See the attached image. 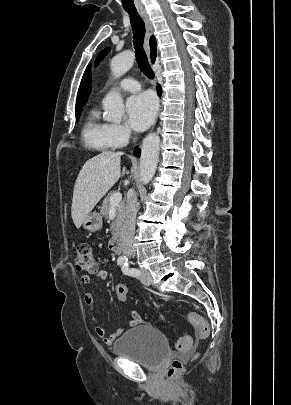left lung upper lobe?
<instances>
[{"mask_svg":"<svg viewBox=\"0 0 291 405\" xmlns=\"http://www.w3.org/2000/svg\"><path fill=\"white\" fill-rule=\"evenodd\" d=\"M109 52V48H105L103 51H101V53L98 55L97 59H96V64H98L101 59Z\"/></svg>","mask_w":291,"mask_h":405,"instance_id":"obj_1","label":"left lung upper lobe"}]
</instances>
